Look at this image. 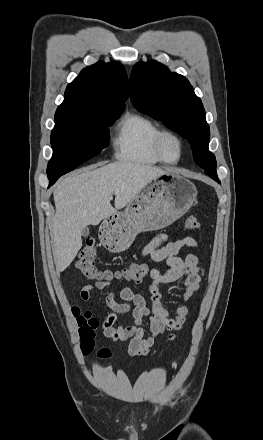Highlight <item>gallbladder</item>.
<instances>
[{"label":"gallbladder","mask_w":263,"mask_h":440,"mask_svg":"<svg viewBox=\"0 0 263 440\" xmlns=\"http://www.w3.org/2000/svg\"><path fill=\"white\" fill-rule=\"evenodd\" d=\"M88 235H89V228H88V227H85V228L83 229V231H82V236L86 237V236H88Z\"/></svg>","instance_id":"gallbladder-1"}]
</instances>
